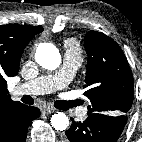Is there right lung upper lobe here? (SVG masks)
<instances>
[{"label":"right lung upper lobe","instance_id":"cb5924a9","mask_svg":"<svg viewBox=\"0 0 142 142\" xmlns=\"http://www.w3.org/2000/svg\"><path fill=\"white\" fill-rule=\"evenodd\" d=\"M42 31L43 28L36 26L0 25V117L22 104L11 100L5 78L18 73L24 48Z\"/></svg>","mask_w":142,"mask_h":142}]
</instances>
